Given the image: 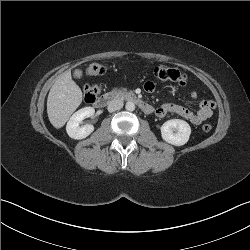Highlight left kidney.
Listing matches in <instances>:
<instances>
[{"label": "left kidney", "mask_w": 250, "mask_h": 250, "mask_svg": "<svg viewBox=\"0 0 250 250\" xmlns=\"http://www.w3.org/2000/svg\"><path fill=\"white\" fill-rule=\"evenodd\" d=\"M191 128L189 124L180 119L166 121L161 127V136L164 141L175 146H182L189 140Z\"/></svg>", "instance_id": "left-kidney-1"}]
</instances>
